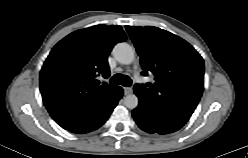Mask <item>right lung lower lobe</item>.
Listing matches in <instances>:
<instances>
[{
	"instance_id": "1",
	"label": "right lung lower lobe",
	"mask_w": 248,
	"mask_h": 158,
	"mask_svg": "<svg viewBox=\"0 0 248 158\" xmlns=\"http://www.w3.org/2000/svg\"><path fill=\"white\" fill-rule=\"evenodd\" d=\"M123 90L116 87L104 100L90 111L69 119L56 121L62 128L72 133H87L101 127L118 101L122 98Z\"/></svg>"
}]
</instances>
